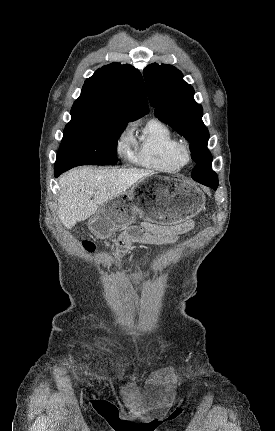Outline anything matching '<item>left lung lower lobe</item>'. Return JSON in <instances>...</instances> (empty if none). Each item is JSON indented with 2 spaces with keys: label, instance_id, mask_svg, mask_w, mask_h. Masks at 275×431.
<instances>
[{
  "label": "left lung lower lobe",
  "instance_id": "1",
  "mask_svg": "<svg viewBox=\"0 0 275 431\" xmlns=\"http://www.w3.org/2000/svg\"><path fill=\"white\" fill-rule=\"evenodd\" d=\"M191 175L195 181H197L203 185H206L208 187H211L214 190H216L218 187V183H216L214 180V174L213 173H204V174L192 173Z\"/></svg>",
  "mask_w": 275,
  "mask_h": 431
}]
</instances>
